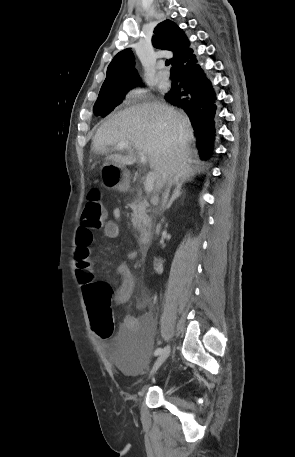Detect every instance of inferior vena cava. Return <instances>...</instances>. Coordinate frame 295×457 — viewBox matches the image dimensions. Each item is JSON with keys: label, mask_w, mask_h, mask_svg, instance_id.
<instances>
[{"label": "inferior vena cava", "mask_w": 295, "mask_h": 457, "mask_svg": "<svg viewBox=\"0 0 295 457\" xmlns=\"http://www.w3.org/2000/svg\"><path fill=\"white\" fill-rule=\"evenodd\" d=\"M172 183H173V179H169L168 182H167V186H166V189L163 193V199H162V208L164 209L165 207V204H166V201L168 199V196H169V192H170V188L172 186Z\"/></svg>", "instance_id": "inferior-vena-cava-1"}]
</instances>
